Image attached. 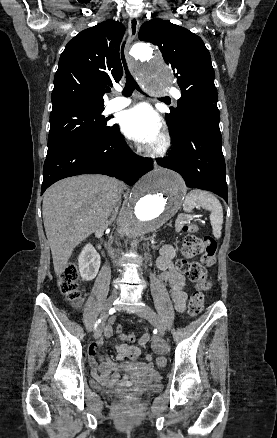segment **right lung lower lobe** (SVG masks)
<instances>
[{
    "label": "right lung lower lobe",
    "mask_w": 277,
    "mask_h": 438,
    "mask_svg": "<svg viewBox=\"0 0 277 438\" xmlns=\"http://www.w3.org/2000/svg\"><path fill=\"white\" fill-rule=\"evenodd\" d=\"M152 160L135 155L119 126L100 139L72 142L47 152L41 195L56 181L80 174H104L133 185L152 170Z\"/></svg>",
    "instance_id": "1"
}]
</instances>
